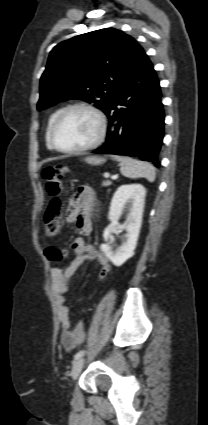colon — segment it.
<instances>
[{
	"label": "colon",
	"instance_id": "obj_1",
	"mask_svg": "<svg viewBox=\"0 0 208 425\" xmlns=\"http://www.w3.org/2000/svg\"><path fill=\"white\" fill-rule=\"evenodd\" d=\"M67 172L68 168L64 165L46 167L42 172L46 189L52 196V200L44 215L45 232L51 237L56 236L62 226V202L59 195L63 189L64 177ZM45 253L53 265L59 264L67 254L66 251L53 247L46 249ZM108 274L109 266L101 267L99 269L98 279L104 280Z\"/></svg>",
	"mask_w": 208,
	"mask_h": 425
}]
</instances>
